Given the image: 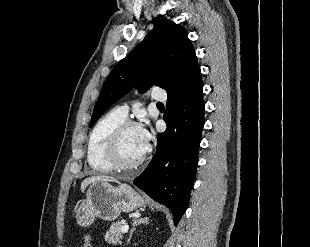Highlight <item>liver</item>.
Returning a JSON list of instances; mask_svg holds the SVG:
<instances>
[{"mask_svg": "<svg viewBox=\"0 0 310 247\" xmlns=\"http://www.w3.org/2000/svg\"><path fill=\"white\" fill-rule=\"evenodd\" d=\"M102 181V182H117V180L114 177L111 176H105V175H97V176H91L86 179H84L81 183V191L84 192L86 187L94 182Z\"/></svg>", "mask_w": 310, "mask_h": 247, "instance_id": "1", "label": "liver"}]
</instances>
